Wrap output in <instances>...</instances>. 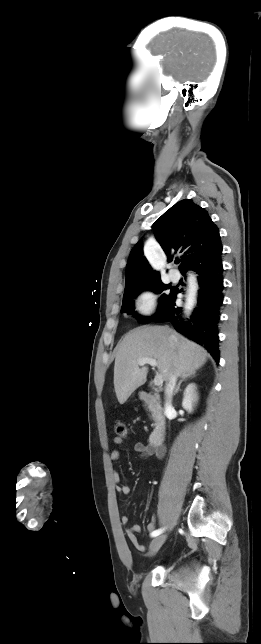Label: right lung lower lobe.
<instances>
[{
  "mask_svg": "<svg viewBox=\"0 0 261 644\" xmlns=\"http://www.w3.org/2000/svg\"><path fill=\"white\" fill-rule=\"evenodd\" d=\"M189 267L199 274L200 286L197 307L192 315L184 321L182 308L175 303L176 296L181 290L176 289L175 295L155 321H170L176 331L202 345L215 361L219 362L218 324L224 297L222 261L219 258L207 264ZM189 267L181 271L183 275Z\"/></svg>",
  "mask_w": 261,
  "mask_h": 644,
  "instance_id": "obj_1",
  "label": "right lung lower lobe"
}]
</instances>
